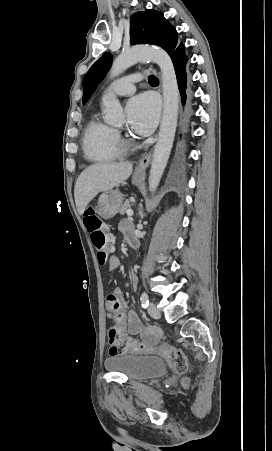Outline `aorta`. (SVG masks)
I'll return each mask as SVG.
<instances>
[{
    "instance_id": "obj_1",
    "label": "aorta",
    "mask_w": 272,
    "mask_h": 451,
    "mask_svg": "<svg viewBox=\"0 0 272 451\" xmlns=\"http://www.w3.org/2000/svg\"><path fill=\"white\" fill-rule=\"evenodd\" d=\"M137 62H156L161 72L163 114L149 176L150 192H155L163 176L174 142L179 114V90L173 62L162 48H136L135 46L128 52H122L113 60L109 72L110 80ZM103 110L106 124H122L124 114L117 98H110L108 102H104Z\"/></svg>"
}]
</instances>
